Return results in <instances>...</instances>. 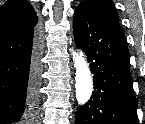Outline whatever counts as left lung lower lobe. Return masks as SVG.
Returning <instances> with one entry per match:
<instances>
[{
    "label": "left lung lower lobe",
    "instance_id": "obj_1",
    "mask_svg": "<svg viewBox=\"0 0 145 124\" xmlns=\"http://www.w3.org/2000/svg\"><path fill=\"white\" fill-rule=\"evenodd\" d=\"M73 31L76 45L86 53L94 74V91L88 103L78 108L76 124H138L122 29L77 8Z\"/></svg>",
    "mask_w": 145,
    "mask_h": 124
}]
</instances>
